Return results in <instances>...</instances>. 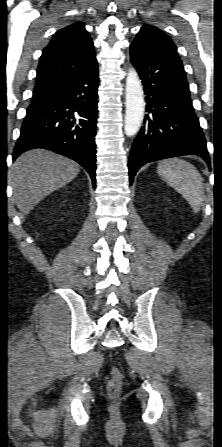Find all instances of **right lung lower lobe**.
<instances>
[{"instance_id": "1", "label": "right lung lower lobe", "mask_w": 222, "mask_h": 447, "mask_svg": "<svg viewBox=\"0 0 222 447\" xmlns=\"http://www.w3.org/2000/svg\"><path fill=\"white\" fill-rule=\"evenodd\" d=\"M96 59L74 78L27 108L13 160L25 151L44 148L82 165L96 186Z\"/></svg>"}]
</instances>
